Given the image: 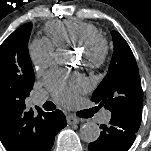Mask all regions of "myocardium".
<instances>
[{"label":"myocardium","mask_w":151,"mask_h":151,"mask_svg":"<svg viewBox=\"0 0 151 151\" xmlns=\"http://www.w3.org/2000/svg\"><path fill=\"white\" fill-rule=\"evenodd\" d=\"M108 54V44L100 35L82 46V61L88 69L101 68L106 63Z\"/></svg>","instance_id":"myocardium-1"}]
</instances>
